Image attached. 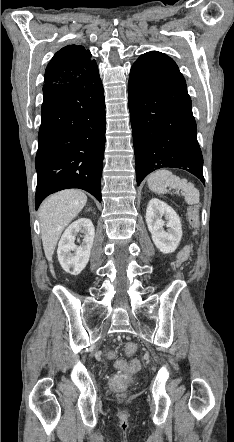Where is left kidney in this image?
I'll return each instance as SVG.
<instances>
[{
  "label": "left kidney",
  "mask_w": 234,
  "mask_h": 442,
  "mask_svg": "<svg viewBox=\"0 0 234 442\" xmlns=\"http://www.w3.org/2000/svg\"><path fill=\"white\" fill-rule=\"evenodd\" d=\"M145 218L155 246L164 254L174 252L182 238V226L177 213L165 202L152 198ZM165 225L167 230L164 229Z\"/></svg>",
  "instance_id": "1"
}]
</instances>
